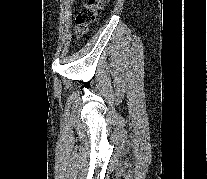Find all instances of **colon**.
<instances>
[{
  "instance_id": "1",
  "label": "colon",
  "mask_w": 207,
  "mask_h": 179,
  "mask_svg": "<svg viewBox=\"0 0 207 179\" xmlns=\"http://www.w3.org/2000/svg\"><path fill=\"white\" fill-rule=\"evenodd\" d=\"M107 0H87L75 20V33L82 37L87 27L96 21L98 13L103 9Z\"/></svg>"
}]
</instances>
